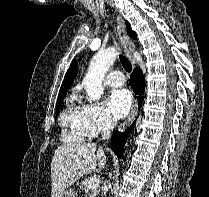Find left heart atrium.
<instances>
[{
    "instance_id": "1",
    "label": "left heart atrium",
    "mask_w": 209,
    "mask_h": 197,
    "mask_svg": "<svg viewBox=\"0 0 209 197\" xmlns=\"http://www.w3.org/2000/svg\"><path fill=\"white\" fill-rule=\"evenodd\" d=\"M132 104L131 93L127 89H114L106 101L109 112L117 117H124L130 110Z\"/></svg>"
}]
</instances>
